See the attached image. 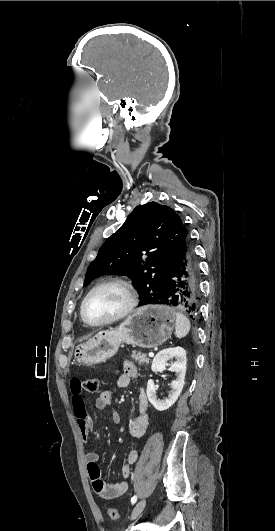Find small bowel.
Masks as SVG:
<instances>
[{"instance_id":"small-bowel-1","label":"small bowel","mask_w":275,"mask_h":531,"mask_svg":"<svg viewBox=\"0 0 275 531\" xmlns=\"http://www.w3.org/2000/svg\"><path fill=\"white\" fill-rule=\"evenodd\" d=\"M138 377V370L136 366L131 362L123 363V372L119 375L116 381V388L123 389L129 386L132 379ZM67 380L69 382L70 394L73 398L72 409L77 419L80 434L84 441L89 439L90 434L94 430L93 422L87 415L86 407L82 397L76 399L82 394L83 390L78 388L77 384H80L82 377L80 373H69ZM113 399V391L111 389L102 390L95 402L96 408L99 410H105L110 408ZM149 402L148 397L143 388L140 389L138 398V413L134 419L131 420L129 425L130 435L134 438L143 437L149 428L150 416H149ZM111 420L114 423H119L121 420L120 413L115 410H110ZM139 454L137 450L130 449L126 453L125 462L121 468V475L124 480L114 484H106L101 477V470L98 465L99 454L94 450H89L85 453V461L87 465L88 476L91 480L94 492L104 500L116 499L128 490V479L131 476V466L138 460Z\"/></svg>"}]
</instances>
